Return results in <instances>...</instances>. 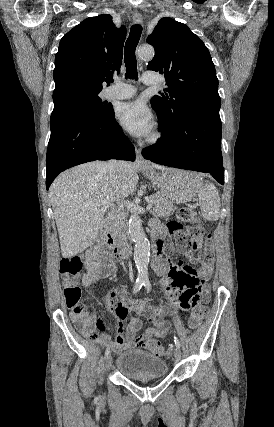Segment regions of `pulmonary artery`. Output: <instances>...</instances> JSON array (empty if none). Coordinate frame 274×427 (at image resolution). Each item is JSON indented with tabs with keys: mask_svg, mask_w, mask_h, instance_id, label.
Masks as SVG:
<instances>
[{
	"mask_svg": "<svg viewBox=\"0 0 274 427\" xmlns=\"http://www.w3.org/2000/svg\"><path fill=\"white\" fill-rule=\"evenodd\" d=\"M142 80L146 85L155 84V80L151 76L146 77V79L143 78ZM135 94L136 88L134 86L122 82H116L106 89L105 98L107 100H120L130 98Z\"/></svg>",
	"mask_w": 274,
	"mask_h": 427,
	"instance_id": "obj_1",
	"label": "pulmonary artery"
}]
</instances>
